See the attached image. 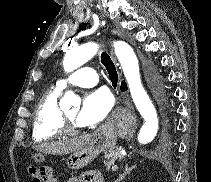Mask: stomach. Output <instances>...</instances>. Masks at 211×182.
Wrapping results in <instances>:
<instances>
[{"label": "stomach", "mask_w": 211, "mask_h": 182, "mask_svg": "<svg viewBox=\"0 0 211 182\" xmlns=\"http://www.w3.org/2000/svg\"><path fill=\"white\" fill-rule=\"evenodd\" d=\"M117 134L112 128H106L94 133L88 143L66 159L69 169H81L91 163L101 152L113 149L116 145ZM35 161H41L43 156L36 154Z\"/></svg>", "instance_id": "0dacf381"}]
</instances>
